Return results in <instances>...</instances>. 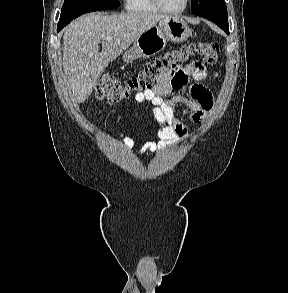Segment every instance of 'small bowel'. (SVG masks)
Returning a JSON list of instances; mask_svg holds the SVG:
<instances>
[{"label":"small bowel","mask_w":288,"mask_h":293,"mask_svg":"<svg viewBox=\"0 0 288 293\" xmlns=\"http://www.w3.org/2000/svg\"><path fill=\"white\" fill-rule=\"evenodd\" d=\"M206 68L201 62H193L179 70L161 75L156 85L135 95L137 103L149 102L152 105V116L159 128V141L146 142L139 150V154L156 153L168 144L182 141L187 137L186 126L178 118L175 108H182V112L196 124L204 123L212 108L211 92L201 83L205 79ZM190 79L196 83L188 86ZM188 90L189 94H184ZM124 146L132 149L134 141L121 135Z\"/></svg>","instance_id":"1"}]
</instances>
